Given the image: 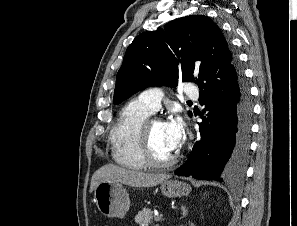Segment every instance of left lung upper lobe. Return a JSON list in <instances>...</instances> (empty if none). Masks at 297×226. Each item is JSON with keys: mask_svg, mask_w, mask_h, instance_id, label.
<instances>
[{"mask_svg": "<svg viewBox=\"0 0 297 226\" xmlns=\"http://www.w3.org/2000/svg\"><path fill=\"white\" fill-rule=\"evenodd\" d=\"M236 61L210 18L182 17L133 40L117 73L113 100L119 104L139 90L160 84L175 87L179 81H193L202 87L223 81L237 75Z\"/></svg>", "mask_w": 297, "mask_h": 226, "instance_id": "obj_1", "label": "left lung upper lobe"}]
</instances>
